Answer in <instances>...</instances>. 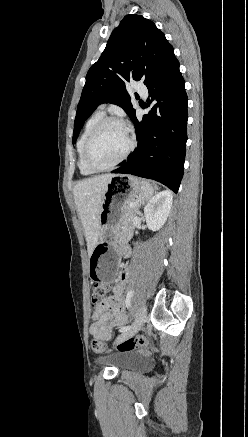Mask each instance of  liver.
I'll list each match as a JSON object with an SVG mask.
<instances>
[{
    "label": "liver",
    "mask_w": 248,
    "mask_h": 437,
    "mask_svg": "<svg viewBox=\"0 0 248 437\" xmlns=\"http://www.w3.org/2000/svg\"><path fill=\"white\" fill-rule=\"evenodd\" d=\"M114 174H103L78 182L73 189L74 201L82 221L90 256L98 243L99 216L107 185Z\"/></svg>",
    "instance_id": "liver-1"
}]
</instances>
